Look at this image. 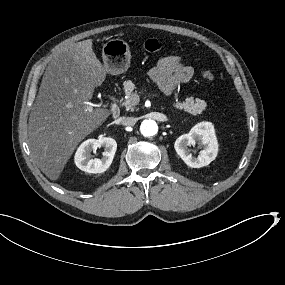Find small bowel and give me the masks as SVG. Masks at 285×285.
<instances>
[{
    "mask_svg": "<svg viewBox=\"0 0 285 285\" xmlns=\"http://www.w3.org/2000/svg\"><path fill=\"white\" fill-rule=\"evenodd\" d=\"M193 75V68L184 64L176 55L160 58L149 71V77L158 83L166 94H171L178 86L188 83Z\"/></svg>",
    "mask_w": 285,
    "mask_h": 285,
    "instance_id": "small-bowel-1",
    "label": "small bowel"
}]
</instances>
